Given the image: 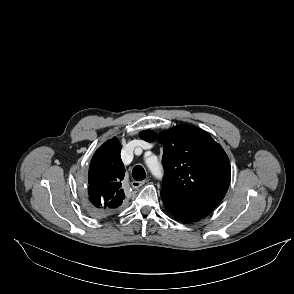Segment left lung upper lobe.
<instances>
[{
  "mask_svg": "<svg viewBox=\"0 0 294 294\" xmlns=\"http://www.w3.org/2000/svg\"><path fill=\"white\" fill-rule=\"evenodd\" d=\"M140 137L152 142L149 130ZM165 208L188 222L206 217L224 198L231 179V166L223 148L204 130L178 125L162 132Z\"/></svg>",
  "mask_w": 294,
  "mask_h": 294,
  "instance_id": "left-lung-upper-lobe-1",
  "label": "left lung upper lobe"
}]
</instances>
